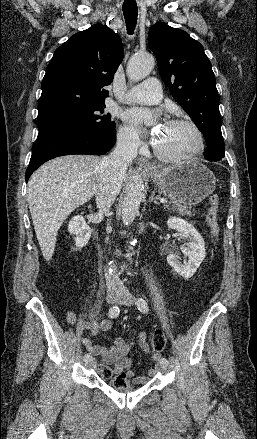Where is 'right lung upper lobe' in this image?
<instances>
[{
    "mask_svg": "<svg viewBox=\"0 0 257 439\" xmlns=\"http://www.w3.org/2000/svg\"><path fill=\"white\" fill-rule=\"evenodd\" d=\"M122 60V41L107 26L96 24L73 35L47 66L37 119L104 104L105 87Z\"/></svg>",
    "mask_w": 257,
    "mask_h": 439,
    "instance_id": "obj_1",
    "label": "right lung upper lobe"
}]
</instances>
